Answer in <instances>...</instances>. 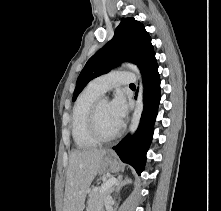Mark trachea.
Segmentation results:
<instances>
[{"label":"trachea","mask_w":221,"mask_h":211,"mask_svg":"<svg viewBox=\"0 0 221 211\" xmlns=\"http://www.w3.org/2000/svg\"><path fill=\"white\" fill-rule=\"evenodd\" d=\"M130 86H135L134 84H130Z\"/></svg>","instance_id":"3493384b"}]
</instances>
